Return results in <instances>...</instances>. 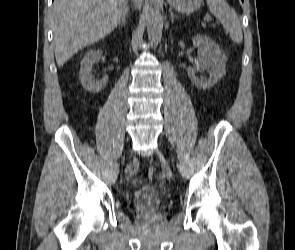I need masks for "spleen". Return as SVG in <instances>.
I'll return each mask as SVG.
<instances>
[{
  "label": "spleen",
  "mask_w": 295,
  "mask_h": 250,
  "mask_svg": "<svg viewBox=\"0 0 295 250\" xmlns=\"http://www.w3.org/2000/svg\"><path fill=\"white\" fill-rule=\"evenodd\" d=\"M210 12L223 24L234 43L243 40L242 28L235 10L225 0H207Z\"/></svg>",
  "instance_id": "1"
}]
</instances>
